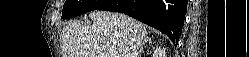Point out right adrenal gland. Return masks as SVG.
I'll use <instances>...</instances> for the list:
<instances>
[{"mask_svg":"<svg viewBox=\"0 0 249 57\" xmlns=\"http://www.w3.org/2000/svg\"><path fill=\"white\" fill-rule=\"evenodd\" d=\"M146 42L151 43V39L149 38ZM142 50H143V48L140 49L139 53H141Z\"/></svg>","mask_w":249,"mask_h":57,"instance_id":"right-adrenal-gland-1","label":"right adrenal gland"}]
</instances>
